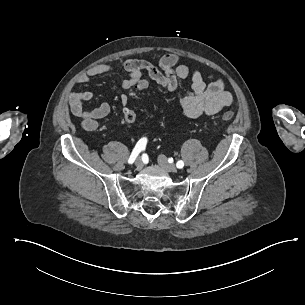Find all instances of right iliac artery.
<instances>
[{
  "label": "right iliac artery",
  "mask_w": 305,
  "mask_h": 305,
  "mask_svg": "<svg viewBox=\"0 0 305 305\" xmlns=\"http://www.w3.org/2000/svg\"><path fill=\"white\" fill-rule=\"evenodd\" d=\"M146 143H147V138H141V139L137 142V144H136L135 148L133 149V151H132V153H131V155H130V158H129V160H128V163H129V164H132V163L135 161V159H136V157L138 156V154H139L142 150L145 149Z\"/></svg>",
  "instance_id": "82829eb1"
}]
</instances>
